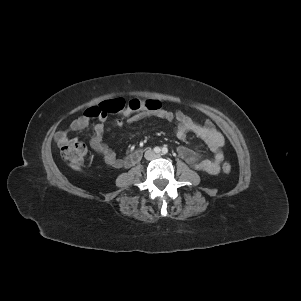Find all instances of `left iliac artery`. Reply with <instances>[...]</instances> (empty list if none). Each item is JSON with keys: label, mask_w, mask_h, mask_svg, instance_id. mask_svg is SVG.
Masks as SVG:
<instances>
[{"label": "left iliac artery", "mask_w": 301, "mask_h": 301, "mask_svg": "<svg viewBox=\"0 0 301 301\" xmlns=\"http://www.w3.org/2000/svg\"><path fill=\"white\" fill-rule=\"evenodd\" d=\"M167 152H168V148H167V147H163V148H162V153H163V154H166Z\"/></svg>", "instance_id": "44dca946"}]
</instances>
